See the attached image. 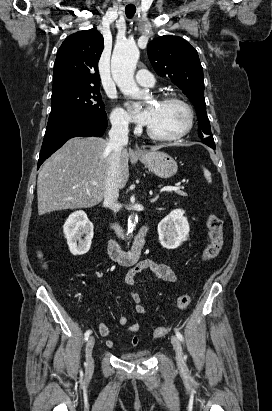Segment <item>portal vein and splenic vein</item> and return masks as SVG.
Returning a JSON list of instances; mask_svg holds the SVG:
<instances>
[{
	"label": "portal vein and splenic vein",
	"instance_id": "1",
	"mask_svg": "<svg viewBox=\"0 0 272 411\" xmlns=\"http://www.w3.org/2000/svg\"><path fill=\"white\" fill-rule=\"evenodd\" d=\"M94 185L96 184V183H93ZM181 187L177 184V185H175V186H171V185H169V186H164L161 190H160V192H164V191H171V190H175V191H177V190H179Z\"/></svg>",
	"mask_w": 272,
	"mask_h": 411
}]
</instances>
